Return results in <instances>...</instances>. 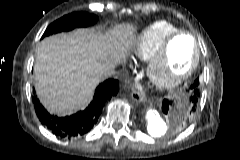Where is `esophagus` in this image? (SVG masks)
I'll list each match as a JSON object with an SVG mask.
<instances>
[{"instance_id": "34e87169", "label": "esophagus", "mask_w": 240, "mask_h": 160, "mask_svg": "<svg viewBox=\"0 0 240 160\" xmlns=\"http://www.w3.org/2000/svg\"><path fill=\"white\" fill-rule=\"evenodd\" d=\"M131 98L134 101L141 103L145 101V94L140 87H135L132 89Z\"/></svg>"}]
</instances>
